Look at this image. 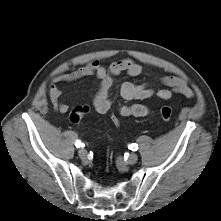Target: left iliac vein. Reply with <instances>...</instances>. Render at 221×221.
Returning <instances> with one entry per match:
<instances>
[{"instance_id": "obj_1", "label": "left iliac vein", "mask_w": 221, "mask_h": 221, "mask_svg": "<svg viewBox=\"0 0 221 221\" xmlns=\"http://www.w3.org/2000/svg\"><path fill=\"white\" fill-rule=\"evenodd\" d=\"M137 160H138L137 154L132 153V154L129 156V158L127 159L126 162H127L128 164L132 165V164H135V163L137 162Z\"/></svg>"}]
</instances>
